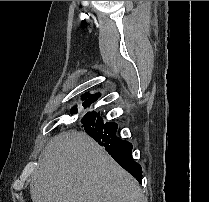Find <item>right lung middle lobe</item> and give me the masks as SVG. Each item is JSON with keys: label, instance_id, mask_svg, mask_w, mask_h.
<instances>
[{"label": "right lung middle lobe", "instance_id": "right-lung-middle-lobe-1", "mask_svg": "<svg viewBox=\"0 0 209 202\" xmlns=\"http://www.w3.org/2000/svg\"><path fill=\"white\" fill-rule=\"evenodd\" d=\"M77 113V107H73L71 109V114H76Z\"/></svg>", "mask_w": 209, "mask_h": 202}]
</instances>
